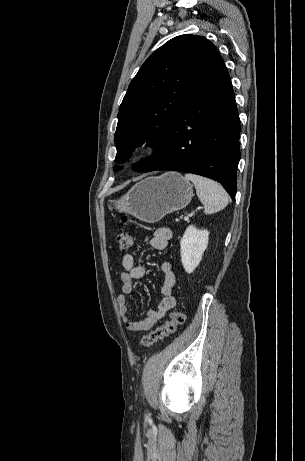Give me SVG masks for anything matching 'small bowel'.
<instances>
[{"label":"small bowel","instance_id":"c3829d8e","mask_svg":"<svg viewBox=\"0 0 305 461\" xmlns=\"http://www.w3.org/2000/svg\"><path fill=\"white\" fill-rule=\"evenodd\" d=\"M172 238V232L167 227L158 228L149 238L150 247L163 250L168 247ZM123 271L120 274L122 285L120 293L117 295V304L119 314L126 328L132 332H144L151 329L158 320L165 317L175 306L177 300L173 295L176 284V275L172 264L164 261L161 264L163 283L161 286L162 298L155 309H148L143 319L136 320L128 315L129 307L126 300V294L132 292L135 281L141 279L146 274L145 266L137 263L132 254H125L122 257Z\"/></svg>","mask_w":305,"mask_h":461}]
</instances>
